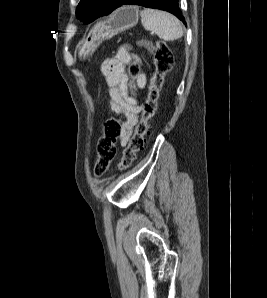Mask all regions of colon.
Returning <instances> with one entry per match:
<instances>
[{"mask_svg": "<svg viewBox=\"0 0 267 298\" xmlns=\"http://www.w3.org/2000/svg\"><path fill=\"white\" fill-rule=\"evenodd\" d=\"M142 45L154 54L155 71L152 75L147 98L143 104L142 116L137 124L134 134L123 151V156L118 169L124 171L133 163L136 154L143 149L145 137L149 131L150 121L157 109V101L161 91L164 78L172 69L173 55L169 47L164 43L143 42ZM138 67L133 65L129 69L131 78L138 75ZM134 86L132 85V91ZM119 127L114 119L105 123L104 132L98 140L95 170L97 174L108 171L116 154L117 141L119 138Z\"/></svg>", "mask_w": 267, "mask_h": 298, "instance_id": "colon-1", "label": "colon"}]
</instances>
